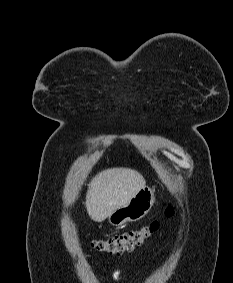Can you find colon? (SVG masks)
I'll list each match as a JSON object with an SVG mask.
<instances>
[{
	"mask_svg": "<svg viewBox=\"0 0 233 283\" xmlns=\"http://www.w3.org/2000/svg\"><path fill=\"white\" fill-rule=\"evenodd\" d=\"M174 213L172 207L165 209V216L171 217ZM159 228V222L154 220L148 224H145L139 228L130 230L128 232L115 235L109 238L96 240L92 246L100 252L109 255H119L126 251H131L137 246L142 245L147 239H149L153 233Z\"/></svg>",
	"mask_w": 233,
	"mask_h": 283,
	"instance_id": "colon-1",
	"label": "colon"
}]
</instances>
